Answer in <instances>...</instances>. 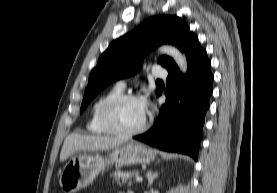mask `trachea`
Segmentation results:
<instances>
[{"label":"trachea","mask_w":277,"mask_h":193,"mask_svg":"<svg viewBox=\"0 0 277 193\" xmlns=\"http://www.w3.org/2000/svg\"><path fill=\"white\" fill-rule=\"evenodd\" d=\"M157 82H158V83H162V81H161V80H157Z\"/></svg>","instance_id":"1"}]
</instances>
